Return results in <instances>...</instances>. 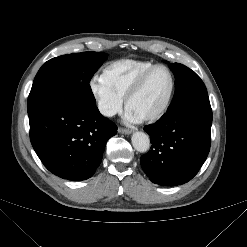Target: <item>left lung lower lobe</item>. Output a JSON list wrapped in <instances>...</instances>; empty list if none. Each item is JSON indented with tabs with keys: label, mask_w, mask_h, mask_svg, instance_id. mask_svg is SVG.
<instances>
[{
	"label": "left lung lower lobe",
	"mask_w": 247,
	"mask_h": 247,
	"mask_svg": "<svg viewBox=\"0 0 247 247\" xmlns=\"http://www.w3.org/2000/svg\"><path fill=\"white\" fill-rule=\"evenodd\" d=\"M211 125L208 100L167 111L154 125L145 126L152 146L140 163L150 180L163 186L190 181L208 156Z\"/></svg>",
	"instance_id": "obj_1"
}]
</instances>
